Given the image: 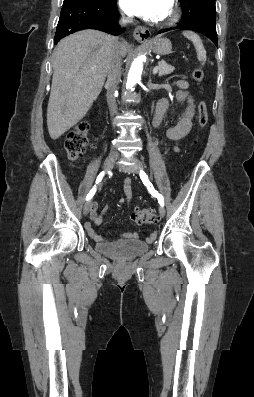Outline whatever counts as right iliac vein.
Segmentation results:
<instances>
[{"label": "right iliac vein", "instance_id": "right-iliac-vein-1", "mask_svg": "<svg viewBox=\"0 0 254 397\" xmlns=\"http://www.w3.org/2000/svg\"><path fill=\"white\" fill-rule=\"evenodd\" d=\"M117 158H118V154H116V153H111V154L106 158V160H105V162H104V170H105V171H109V170L113 167L114 162L117 160ZM91 206H92V201H91V200L87 201V202L84 204V207H83V213H84V215H87V214L89 213V211H90V209H91Z\"/></svg>", "mask_w": 254, "mask_h": 397}]
</instances>
